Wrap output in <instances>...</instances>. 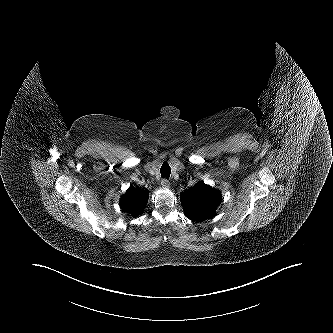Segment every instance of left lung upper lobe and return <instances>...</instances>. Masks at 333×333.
<instances>
[{
    "instance_id": "1",
    "label": "left lung upper lobe",
    "mask_w": 333,
    "mask_h": 333,
    "mask_svg": "<svg viewBox=\"0 0 333 333\" xmlns=\"http://www.w3.org/2000/svg\"><path fill=\"white\" fill-rule=\"evenodd\" d=\"M221 201V192L203 182L181 193L184 213L193 221L202 222L214 217Z\"/></svg>"
}]
</instances>
